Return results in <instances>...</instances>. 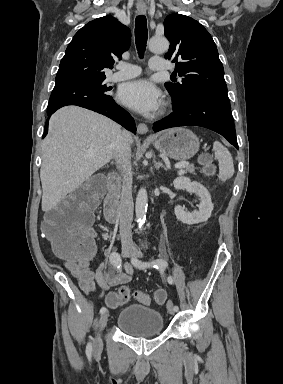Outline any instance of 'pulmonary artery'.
<instances>
[{
	"label": "pulmonary artery",
	"instance_id": "e3ab8cb5",
	"mask_svg": "<svg viewBox=\"0 0 283 384\" xmlns=\"http://www.w3.org/2000/svg\"><path fill=\"white\" fill-rule=\"evenodd\" d=\"M117 71L108 76V81L119 82L136 77L140 74L141 69L137 66L120 62L117 65ZM149 71H168L169 65L167 61H151L148 65Z\"/></svg>",
	"mask_w": 283,
	"mask_h": 384
}]
</instances>
